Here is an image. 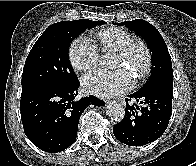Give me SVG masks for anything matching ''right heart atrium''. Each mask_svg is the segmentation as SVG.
I'll use <instances>...</instances> for the list:
<instances>
[{
	"label": "right heart atrium",
	"mask_w": 196,
	"mask_h": 166,
	"mask_svg": "<svg viewBox=\"0 0 196 166\" xmlns=\"http://www.w3.org/2000/svg\"><path fill=\"white\" fill-rule=\"evenodd\" d=\"M68 56L73 68L81 72L91 69L98 61L96 46L84 36L77 37L71 43Z\"/></svg>",
	"instance_id": "right-heart-atrium-1"
}]
</instances>
